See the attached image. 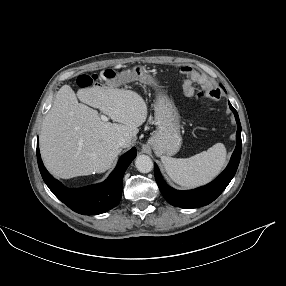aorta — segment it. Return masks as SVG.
Returning <instances> with one entry per match:
<instances>
[{
	"label": "aorta",
	"instance_id": "aorta-1",
	"mask_svg": "<svg viewBox=\"0 0 286 286\" xmlns=\"http://www.w3.org/2000/svg\"><path fill=\"white\" fill-rule=\"evenodd\" d=\"M135 166L139 172L148 173L153 169V162L147 155H138L135 159Z\"/></svg>",
	"mask_w": 286,
	"mask_h": 286
}]
</instances>
